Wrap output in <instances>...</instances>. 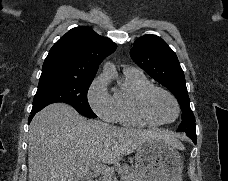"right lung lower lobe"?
Here are the masks:
<instances>
[{
    "instance_id": "1",
    "label": "right lung lower lobe",
    "mask_w": 228,
    "mask_h": 181,
    "mask_svg": "<svg viewBox=\"0 0 228 181\" xmlns=\"http://www.w3.org/2000/svg\"><path fill=\"white\" fill-rule=\"evenodd\" d=\"M37 112H38L37 110H32V111H31V115L29 116V119H28L29 122L31 121V119L34 117V115H35Z\"/></svg>"
}]
</instances>
